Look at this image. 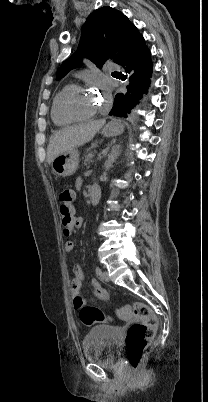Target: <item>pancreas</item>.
Segmentation results:
<instances>
[{
	"label": "pancreas",
	"mask_w": 208,
	"mask_h": 402,
	"mask_svg": "<svg viewBox=\"0 0 208 402\" xmlns=\"http://www.w3.org/2000/svg\"><path fill=\"white\" fill-rule=\"evenodd\" d=\"M91 158H93V154H87V156H85L84 166H87V168H89Z\"/></svg>",
	"instance_id": "obj_1"
}]
</instances>
